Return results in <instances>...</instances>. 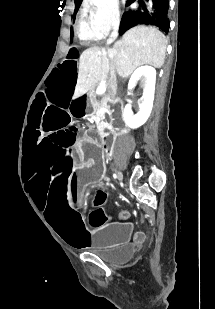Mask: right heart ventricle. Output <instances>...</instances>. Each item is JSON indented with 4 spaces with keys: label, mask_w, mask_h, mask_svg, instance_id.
<instances>
[{
    "label": "right heart ventricle",
    "mask_w": 215,
    "mask_h": 309,
    "mask_svg": "<svg viewBox=\"0 0 215 309\" xmlns=\"http://www.w3.org/2000/svg\"><path fill=\"white\" fill-rule=\"evenodd\" d=\"M78 26H80L77 29L78 34H85L81 36V39H86L90 37L89 34L96 33V28L93 27V19H78Z\"/></svg>",
    "instance_id": "right-heart-ventricle-1"
}]
</instances>
